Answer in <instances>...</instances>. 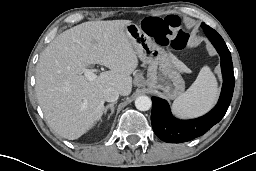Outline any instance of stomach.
Returning <instances> with one entry per match:
<instances>
[{
  "instance_id": "0dacf381",
  "label": "stomach",
  "mask_w": 256,
  "mask_h": 171,
  "mask_svg": "<svg viewBox=\"0 0 256 171\" xmlns=\"http://www.w3.org/2000/svg\"><path fill=\"white\" fill-rule=\"evenodd\" d=\"M125 32L130 38L140 60L148 65L146 84L151 89L162 90L169 99L180 96L185 89L176 59L147 35L141 26L129 23Z\"/></svg>"
}]
</instances>
